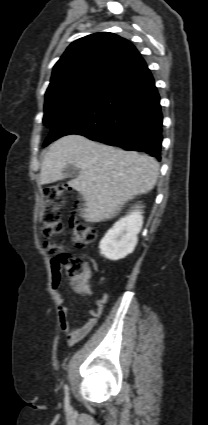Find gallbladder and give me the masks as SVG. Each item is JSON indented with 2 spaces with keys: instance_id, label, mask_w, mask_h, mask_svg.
<instances>
[{
  "instance_id": "obj_1",
  "label": "gallbladder",
  "mask_w": 208,
  "mask_h": 425,
  "mask_svg": "<svg viewBox=\"0 0 208 425\" xmlns=\"http://www.w3.org/2000/svg\"><path fill=\"white\" fill-rule=\"evenodd\" d=\"M65 177H77L79 175V169L75 166H67L63 171Z\"/></svg>"
}]
</instances>
